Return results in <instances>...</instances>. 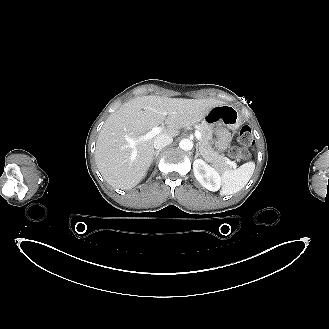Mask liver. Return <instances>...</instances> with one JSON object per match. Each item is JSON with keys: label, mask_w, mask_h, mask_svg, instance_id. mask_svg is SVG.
I'll return each mask as SVG.
<instances>
[{"label": "liver", "mask_w": 329, "mask_h": 329, "mask_svg": "<svg viewBox=\"0 0 329 329\" xmlns=\"http://www.w3.org/2000/svg\"><path fill=\"white\" fill-rule=\"evenodd\" d=\"M221 104L225 103L213 98L161 96H143L125 102L107 118L99 133L95 160L100 173L114 188L135 187L146 176L153 161L157 136L145 141H140V137L164 122L168 127L160 133L176 137L179 129L199 123L211 108ZM163 112H167V117ZM126 136L137 140L135 157Z\"/></svg>", "instance_id": "6515ba94"}]
</instances>
